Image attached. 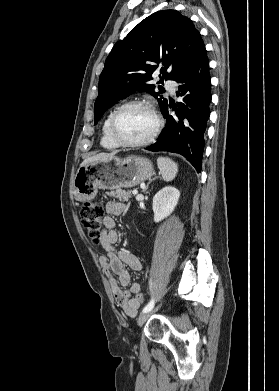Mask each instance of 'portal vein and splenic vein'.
I'll return each instance as SVG.
<instances>
[{
    "mask_svg": "<svg viewBox=\"0 0 279 391\" xmlns=\"http://www.w3.org/2000/svg\"><path fill=\"white\" fill-rule=\"evenodd\" d=\"M133 194H134V195H137V194H138V191H137V190H133Z\"/></svg>",
    "mask_w": 279,
    "mask_h": 391,
    "instance_id": "obj_1",
    "label": "portal vein and splenic vein"
}]
</instances>
